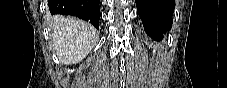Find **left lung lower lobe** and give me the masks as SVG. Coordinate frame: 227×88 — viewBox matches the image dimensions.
Listing matches in <instances>:
<instances>
[{"instance_id": "0a47b994", "label": "left lung lower lobe", "mask_w": 227, "mask_h": 88, "mask_svg": "<svg viewBox=\"0 0 227 88\" xmlns=\"http://www.w3.org/2000/svg\"><path fill=\"white\" fill-rule=\"evenodd\" d=\"M146 33L156 41L172 26L175 0H135Z\"/></svg>"}]
</instances>
